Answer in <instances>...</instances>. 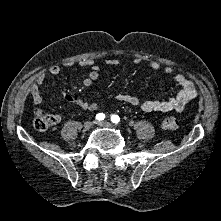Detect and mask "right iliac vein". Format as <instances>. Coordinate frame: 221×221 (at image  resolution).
I'll return each instance as SVG.
<instances>
[{"label": "right iliac vein", "instance_id": "63e3f726", "mask_svg": "<svg viewBox=\"0 0 221 221\" xmlns=\"http://www.w3.org/2000/svg\"><path fill=\"white\" fill-rule=\"evenodd\" d=\"M92 127V122L87 121L84 123V129L89 130Z\"/></svg>", "mask_w": 221, "mask_h": 221}]
</instances>
